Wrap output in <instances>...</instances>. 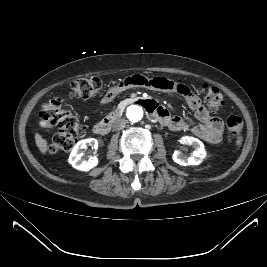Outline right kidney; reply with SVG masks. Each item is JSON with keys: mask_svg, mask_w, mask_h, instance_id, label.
Wrapping results in <instances>:
<instances>
[{"mask_svg": "<svg viewBox=\"0 0 267 267\" xmlns=\"http://www.w3.org/2000/svg\"><path fill=\"white\" fill-rule=\"evenodd\" d=\"M91 146L95 150L98 148V141L94 138L83 139L73 148L69 156V163L77 170L89 171L98 164L97 156H90L88 160H83V150ZM95 153V152H94Z\"/></svg>", "mask_w": 267, "mask_h": 267, "instance_id": "obj_1", "label": "right kidney"}]
</instances>
